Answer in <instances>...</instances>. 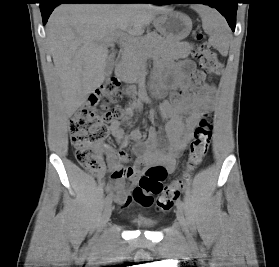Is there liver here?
Wrapping results in <instances>:
<instances>
[{
  "mask_svg": "<svg viewBox=\"0 0 279 267\" xmlns=\"http://www.w3.org/2000/svg\"><path fill=\"white\" fill-rule=\"evenodd\" d=\"M167 7L141 4H63L51 14L47 41L60 78L68 116L83 105L105 79V39L117 31L140 36Z\"/></svg>",
  "mask_w": 279,
  "mask_h": 267,
  "instance_id": "6515ba94",
  "label": "liver"
}]
</instances>
